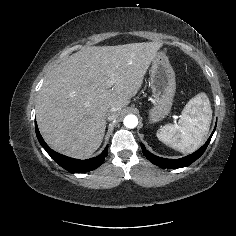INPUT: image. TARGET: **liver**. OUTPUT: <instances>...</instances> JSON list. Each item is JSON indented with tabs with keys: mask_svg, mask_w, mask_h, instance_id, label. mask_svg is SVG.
Instances as JSON below:
<instances>
[{
	"mask_svg": "<svg viewBox=\"0 0 236 236\" xmlns=\"http://www.w3.org/2000/svg\"><path fill=\"white\" fill-rule=\"evenodd\" d=\"M162 47L160 42L81 49L58 64L39 92L36 118L46 143L74 158H87L101 145L106 114H117L140 90Z\"/></svg>",
	"mask_w": 236,
	"mask_h": 236,
	"instance_id": "1",
	"label": "liver"
}]
</instances>
